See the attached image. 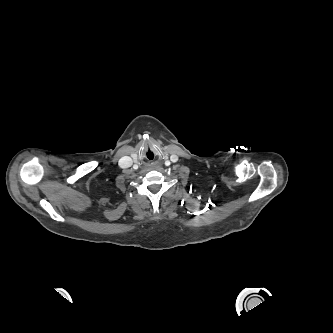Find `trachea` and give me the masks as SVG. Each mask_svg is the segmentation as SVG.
<instances>
[{
	"label": "trachea",
	"mask_w": 333,
	"mask_h": 333,
	"mask_svg": "<svg viewBox=\"0 0 333 333\" xmlns=\"http://www.w3.org/2000/svg\"><path fill=\"white\" fill-rule=\"evenodd\" d=\"M153 158H154V154L153 153L148 154V159L149 160H153Z\"/></svg>",
	"instance_id": "trachea-1"
}]
</instances>
